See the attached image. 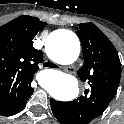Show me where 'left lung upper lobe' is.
Listing matches in <instances>:
<instances>
[{"instance_id": "1", "label": "left lung upper lobe", "mask_w": 124, "mask_h": 124, "mask_svg": "<svg viewBox=\"0 0 124 124\" xmlns=\"http://www.w3.org/2000/svg\"><path fill=\"white\" fill-rule=\"evenodd\" d=\"M77 34L83 48L84 65L78 70L90 88L74 101L64 102L71 124H88L101 115L116 95L121 63L111 41L93 23L79 25Z\"/></svg>"}]
</instances>
